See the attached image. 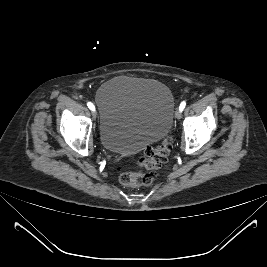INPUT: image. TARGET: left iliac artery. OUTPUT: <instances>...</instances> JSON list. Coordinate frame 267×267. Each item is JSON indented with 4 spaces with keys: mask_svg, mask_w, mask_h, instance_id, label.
Here are the masks:
<instances>
[{
    "mask_svg": "<svg viewBox=\"0 0 267 267\" xmlns=\"http://www.w3.org/2000/svg\"><path fill=\"white\" fill-rule=\"evenodd\" d=\"M185 106H186V103H185V101H183V102L180 104V107H179L180 111H183V109L185 108Z\"/></svg>",
    "mask_w": 267,
    "mask_h": 267,
    "instance_id": "44dca946",
    "label": "left iliac artery"
}]
</instances>
